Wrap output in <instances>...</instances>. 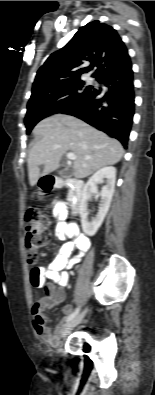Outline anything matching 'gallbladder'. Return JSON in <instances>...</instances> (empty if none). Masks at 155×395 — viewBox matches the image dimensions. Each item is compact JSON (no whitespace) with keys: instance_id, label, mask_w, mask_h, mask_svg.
<instances>
[{"instance_id":"bac80fb5","label":"gallbladder","mask_w":155,"mask_h":395,"mask_svg":"<svg viewBox=\"0 0 155 395\" xmlns=\"http://www.w3.org/2000/svg\"><path fill=\"white\" fill-rule=\"evenodd\" d=\"M58 174L61 176V177H69V176H71L72 175V170L71 169H62V170H59L58 171Z\"/></svg>"}]
</instances>
